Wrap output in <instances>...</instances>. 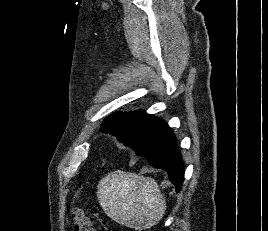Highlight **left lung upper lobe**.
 I'll list each match as a JSON object with an SVG mask.
<instances>
[{
    "mask_svg": "<svg viewBox=\"0 0 268 231\" xmlns=\"http://www.w3.org/2000/svg\"><path fill=\"white\" fill-rule=\"evenodd\" d=\"M163 123V120L153 115L136 111L109 117L101 125V129L119 138L126 146L132 147L148 140Z\"/></svg>",
    "mask_w": 268,
    "mask_h": 231,
    "instance_id": "5c2ea615",
    "label": "left lung upper lobe"
}]
</instances>
